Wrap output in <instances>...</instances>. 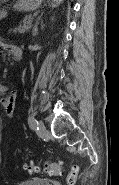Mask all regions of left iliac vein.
<instances>
[{
	"mask_svg": "<svg viewBox=\"0 0 119 185\" xmlns=\"http://www.w3.org/2000/svg\"><path fill=\"white\" fill-rule=\"evenodd\" d=\"M37 130L40 135H44L46 133V128L42 121L39 122Z\"/></svg>",
	"mask_w": 119,
	"mask_h": 185,
	"instance_id": "1",
	"label": "left iliac vein"
}]
</instances>
